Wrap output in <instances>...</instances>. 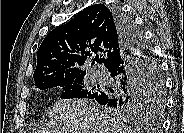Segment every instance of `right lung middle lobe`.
Wrapping results in <instances>:
<instances>
[{"instance_id":"right-lung-middle-lobe-1","label":"right lung middle lobe","mask_w":184,"mask_h":133,"mask_svg":"<svg viewBox=\"0 0 184 133\" xmlns=\"http://www.w3.org/2000/svg\"><path fill=\"white\" fill-rule=\"evenodd\" d=\"M128 18V17H127ZM131 20L130 18H128ZM132 22V20H131ZM137 37L143 40L145 46V52L147 54L148 64L145 72V80L142 84L141 90L133 94L124 95L115 99L109 107L110 111L113 113H131L142 110L148 107H156L159 111L164 103V85L163 78L161 75V69L156 61L155 56L152 53V50L145 42L142 32L133 25ZM84 76L80 77H65V76H55L47 77L39 80L35 83L41 90L48 88L62 86L64 93L61 95V98H86L87 96L96 93L100 90L92 88L86 89L83 82Z\"/></svg>"}]
</instances>
